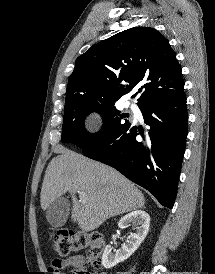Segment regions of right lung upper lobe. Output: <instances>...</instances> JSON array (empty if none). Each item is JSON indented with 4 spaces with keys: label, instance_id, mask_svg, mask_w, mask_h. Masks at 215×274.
Segmentation results:
<instances>
[{
    "label": "right lung upper lobe",
    "instance_id": "cb5924a9",
    "mask_svg": "<svg viewBox=\"0 0 215 274\" xmlns=\"http://www.w3.org/2000/svg\"><path fill=\"white\" fill-rule=\"evenodd\" d=\"M137 85L141 86L139 107L152 99L184 92L176 54L154 28H130L79 56L68 80L65 104L116 102Z\"/></svg>",
    "mask_w": 215,
    "mask_h": 274
}]
</instances>
